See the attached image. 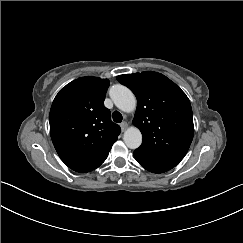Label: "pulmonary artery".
<instances>
[{
	"instance_id": "obj_1",
	"label": "pulmonary artery",
	"mask_w": 243,
	"mask_h": 243,
	"mask_svg": "<svg viewBox=\"0 0 243 243\" xmlns=\"http://www.w3.org/2000/svg\"><path fill=\"white\" fill-rule=\"evenodd\" d=\"M117 105H118L120 108H125V104H124L123 102L117 101Z\"/></svg>"
}]
</instances>
